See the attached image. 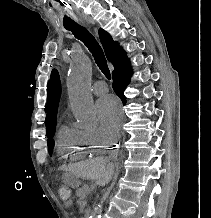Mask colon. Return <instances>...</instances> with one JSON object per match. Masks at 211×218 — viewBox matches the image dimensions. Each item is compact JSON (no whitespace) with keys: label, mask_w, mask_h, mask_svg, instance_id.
Returning a JSON list of instances; mask_svg holds the SVG:
<instances>
[{"label":"colon","mask_w":211,"mask_h":218,"mask_svg":"<svg viewBox=\"0 0 211 218\" xmlns=\"http://www.w3.org/2000/svg\"><path fill=\"white\" fill-rule=\"evenodd\" d=\"M58 195H59L60 199L65 201V202L71 200V198H72L71 189L65 184H62L59 186Z\"/></svg>","instance_id":"colon-1"}]
</instances>
